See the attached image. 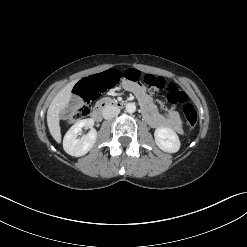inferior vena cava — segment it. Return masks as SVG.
<instances>
[{"label":"inferior vena cava","instance_id":"602c4592","mask_svg":"<svg viewBox=\"0 0 247 247\" xmlns=\"http://www.w3.org/2000/svg\"><path fill=\"white\" fill-rule=\"evenodd\" d=\"M120 109L114 105H106L102 110V115L105 119H111L118 116Z\"/></svg>","mask_w":247,"mask_h":247}]
</instances>
